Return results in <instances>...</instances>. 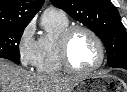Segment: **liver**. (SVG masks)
I'll return each mask as SVG.
<instances>
[{"instance_id":"liver-1","label":"liver","mask_w":127,"mask_h":92,"mask_svg":"<svg viewBox=\"0 0 127 92\" xmlns=\"http://www.w3.org/2000/svg\"><path fill=\"white\" fill-rule=\"evenodd\" d=\"M84 77L33 74L0 59V92H71Z\"/></svg>"}]
</instances>
